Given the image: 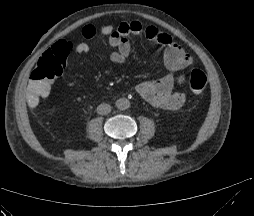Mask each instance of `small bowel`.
I'll return each mask as SVG.
<instances>
[{"instance_id": "c3829d8e", "label": "small bowel", "mask_w": 254, "mask_h": 216, "mask_svg": "<svg viewBox=\"0 0 254 216\" xmlns=\"http://www.w3.org/2000/svg\"><path fill=\"white\" fill-rule=\"evenodd\" d=\"M81 32L87 40L94 39L98 34L106 37L112 50L110 60L116 64L125 62L129 57L131 52L129 37L132 35H144L162 45L168 72L155 81L139 83L135 90L144 100L161 109L175 110L185 104L186 94L181 89L184 78L183 76L176 77L174 73L187 68L191 64L192 58L169 34L154 26H144L138 20L121 22L116 26L106 24L99 30L93 24H86ZM51 50L62 51L67 57L71 52L88 53L90 46L87 42L74 44L71 41L62 40L55 43L46 52Z\"/></svg>"}]
</instances>
